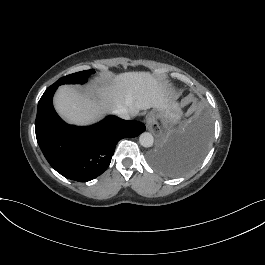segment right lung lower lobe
I'll list each match as a JSON object with an SVG mask.
<instances>
[{
	"label": "right lung lower lobe",
	"mask_w": 265,
	"mask_h": 265,
	"mask_svg": "<svg viewBox=\"0 0 265 265\" xmlns=\"http://www.w3.org/2000/svg\"><path fill=\"white\" fill-rule=\"evenodd\" d=\"M57 87L51 85L39 100L35 122L37 142L58 173L87 182L107 169L119 140L138 136L145 125L113 115L90 127L68 125L53 108L52 98Z\"/></svg>",
	"instance_id": "1"
}]
</instances>
